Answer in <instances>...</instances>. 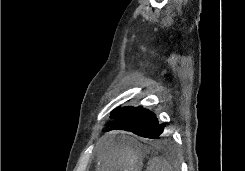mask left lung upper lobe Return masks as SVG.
Wrapping results in <instances>:
<instances>
[{
    "label": "left lung upper lobe",
    "instance_id": "left-lung-upper-lobe-1",
    "mask_svg": "<svg viewBox=\"0 0 245 171\" xmlns=\"http://www.w3.org/2000/svg\"><path fill=\"white\" fill-rule=\"evenodd\" d=\"M131 106L127 107H117L111 112V119H114V121L111 123V125L115 122H117L129 109Z\"/></svg>",
    "mask_w": 245,
    "mask_h": 171
}]
</instances>
